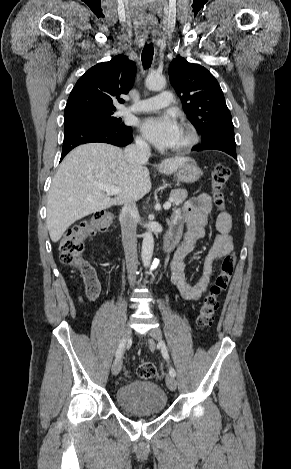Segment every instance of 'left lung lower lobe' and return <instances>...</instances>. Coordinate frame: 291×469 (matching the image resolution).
<instances>
[{"mask_svg":"<svg viewBox=\"0 0 291 469\" xmlns=\"http://www.w3.org/2000/svg\"><path fill=\"white\" fill-rule=\"evenodd\" d=\"M207 149L220 150V151L226 152L227 154L237 159L236 144H235L234 139L216 138L211 141L202 143L201 145L194 147L192 150L201 151V150H207Z\"/></svg>","mask_w":291,"mask_h":469,"instance_id":"left-lung-lower-lobe-1","label":"left lung lower lobe"}]
</instances>
